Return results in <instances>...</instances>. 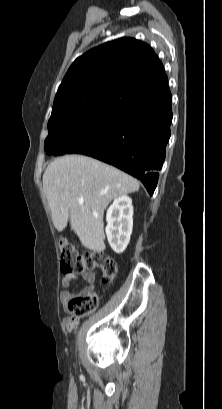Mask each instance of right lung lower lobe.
Returning a JSON list of instances; mask_svg holds the SVG:
<instances>
[{"instance_id": "1", "label": "right lung lower lobe", "mask_w": 222, "mask_h": 409, "mask_svg": "<svg viewBox=\"0 0 222 409\" xmlns=\"http://www.w3.org/2000/svg\"><path fill=\"white\" fill-rule=\"evenodd\" d=\"M172 121L171 93L120 104L98 149L87 154L131 174L153 194Z\"/></svg>"}]
</instances>
